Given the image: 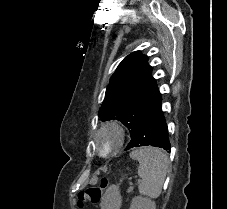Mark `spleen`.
<instances>
[{"label": "spleen", "instance_id": "obj_1", "mask_svg": "<svg viewBox=\"0 0 227 209\" xmlns=\"http://www.w3.org/2000/svg\"><path fill=\"white\" fill-rule=\"evenodd\" d=\"M130 157L139 163L138 189L140 195L157 199L162 193L167 175L168 159L166 155L153 147H139L130 153Z\"/></svg>", "mask_w": 227, "mask_h": 209}]
</instances>
